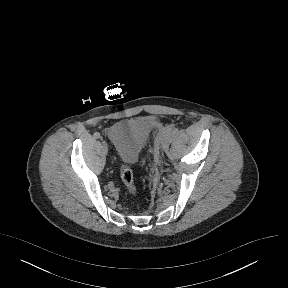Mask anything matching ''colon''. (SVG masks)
Wrapping results in <instances>:
<instances>
[{"label":"colon","mask_w":288,"mask_h":288,"mask_svg":"<svg viewBox=\"0 0 288 288\" xmlns=\"http://www.w3.org/2000/svg\"><path fill=\"white\" fill-rule=\"evenodd\" d=\"M121 179H122L125 187L127 188V190L131 194H135L136 193V186L134 183V174H133V171L129 167H127V166L122 167Z\"/></svg>","instance_id":"5ec220e1"}]
</instances>
